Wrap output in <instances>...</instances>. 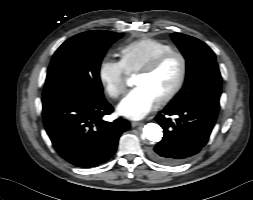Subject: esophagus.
<instances>
[{"mask_svg":"<svg viewBox=\"0 0 253 200\" xmlns=\"http://www.w3.org/2000/svg\"><path fill=\"white\" fill-rule=\"evenodd\" d=\"M144 123L143 122H136V121H133L132 123H131V126L132 127H136V126H142Z\"/></svg>","mask_w":253,"mask_h":200,"instance_id":"34e87169","label":"esophagus"}]
</instances>
